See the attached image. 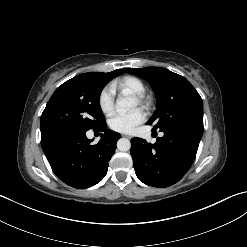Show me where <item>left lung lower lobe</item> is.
<instances>
[{
  "label": "left lung lower lobe",
  "instance_id": "1",
  "mask_svg": "<svg viewBox=\"0 0 247 247\" xmlns=\"http://www.w3.org/2000/svg\"><path fill=\"white\" fill-rule=\"evenodd\" d=\"M160 131L164 136L154 144L131 139V156L138 179L146 185L163 188L178 182L189 170L203 131L183 123Z\"/></svg>",
  "mask_w": 247,
  "mask_h": 247
}]
</instances>
